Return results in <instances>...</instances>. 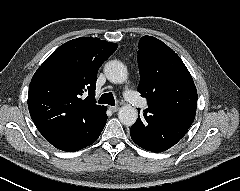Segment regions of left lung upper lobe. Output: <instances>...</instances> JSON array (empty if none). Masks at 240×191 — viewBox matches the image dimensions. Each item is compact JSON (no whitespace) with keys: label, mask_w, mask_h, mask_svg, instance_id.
Masks as SVG:
<instances>
[{"label":"left lung upper lobe","mask_w":240,"mask_h":191,"mask_svg":"<svg viewBox=\"0 0 240 191\" xmlns=\"http://www.w3.org/2000/svg\"><path fill=\"white\" fill-rule=\"evenodd\" d=\"M139 92L148 100L145 110L152 122L161 121L182 130L183 135L194 121L197 90L179 56L155 37L139 41Z\"/></svg>","instance_id":"obj_1"}]
</instances>
